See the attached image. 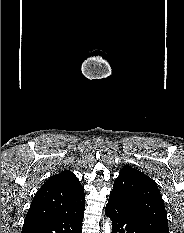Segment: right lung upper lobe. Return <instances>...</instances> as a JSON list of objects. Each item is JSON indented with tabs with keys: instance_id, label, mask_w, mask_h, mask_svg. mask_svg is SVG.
<instances>
[{
	"instance_id": "obj_1",
	"label": "right lung upper lobe",
	"mask_w": 184,
	"mask_h": 233,
	"mask_svg": "<svg viewBox=\"0 0 184 233\" xmlns=\"http://www.w3.org/2000/svg\"><path fill=\"white\" fill-rule=\"evenodd\" d=\"M85 194L78 178L69 170L51 176L38 190L26 215L27 229L84 212Z\"/></svg>"
}]
</instances>
